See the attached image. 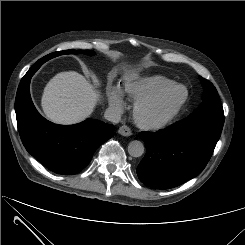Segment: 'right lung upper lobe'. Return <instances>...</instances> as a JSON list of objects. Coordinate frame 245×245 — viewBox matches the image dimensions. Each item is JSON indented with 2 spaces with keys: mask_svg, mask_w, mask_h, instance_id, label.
Masks as SVG:
<instances>
[{
  "mask_svg": "<svg viewBox=\"0 0 245 245\" xmlns=\"http://www.w3.org/2000/svg\"><path fill=\"white\" fill-rule=\"evenodd\" d=\"M41 64H38L37 62L29 69V71L25 74L27 77H31L37 69L40 67Z\"/></svg>",
  "mask_w": 245,
  "mask_h": 245,
  "instance_id": "cb5924a9",
  "label": "right lung upper lobe"
}]
</instances>
